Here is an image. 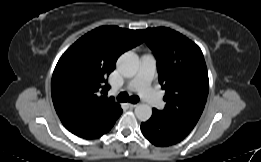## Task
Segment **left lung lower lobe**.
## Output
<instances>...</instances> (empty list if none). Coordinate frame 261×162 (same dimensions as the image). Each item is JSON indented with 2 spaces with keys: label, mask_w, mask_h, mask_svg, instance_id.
<instances>
[{
  "label": "left lung lower lobe",
  "mask_w": 261,
  "mask_h": 162,
  "mask_svg": "<svg viewBox=\"0 0 261 162\" xmlns=\"http://www.w3.org/2000/svg\"><path fill=\"white\" fill-rule=\"evenodd\" d=\"M191 128L174 120L165 118L158 110L153 109L151 118L141 124V131L155 146H170L182 141Z\"/></svg>",
  "instance_id": "obj_1"
}]
</instances>
